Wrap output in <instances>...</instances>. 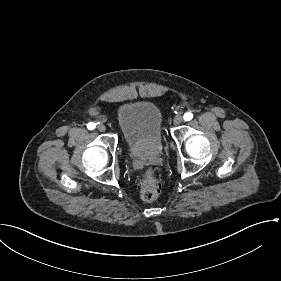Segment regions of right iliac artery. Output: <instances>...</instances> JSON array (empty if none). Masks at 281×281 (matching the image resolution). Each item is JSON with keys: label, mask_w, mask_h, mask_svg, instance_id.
<instances>
[{"label": "right iliac artery", "mask_w": 281, "mask_h": 281, "mask_svg": "<svg viewBox=\"0 0 281 281\" xmlns=\"http://www.w3.org/2000/svg\"><path fill=\"white\" fill-rule=\"evenodd\" d=\"M95 127H96L95 123H92V122L88 123V125H87V128L89 130H93Z\"/></svg>", "instance_id": "obj_1"}]
</instances>
